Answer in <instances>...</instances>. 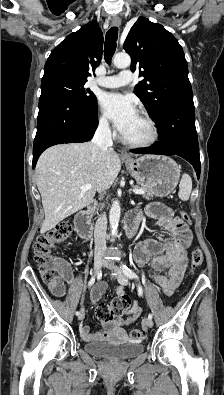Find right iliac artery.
<instances>
[{
    "instance_id": "1",
    "label": "right iliac artery",
    "mask_w": 224,
    "mask_h": 395,
    "mask_svg": "<svg viewBox=\"0 0 224 395\" xmlns=\"http://www.w3.org/2000/svg\"><path fill=\"white\" fill-rule=\"evenodd\" d=\"M95 282V276H92L90 281L88 282V287H91ZM80 314L79 311L76 312V315L78 316Z\"/></svg>"
}]
</instances>
